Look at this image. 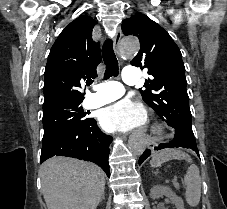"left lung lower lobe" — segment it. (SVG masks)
I'll return each instance as SVG.
<instances>
[{
  "label": "left lung lower lobe",
  "instance_id": "obj_1",
  "mask_svg": "<svg viewBox=\"0 0 227 209\" xmlns=\"http://www.w3.org/2000/svg\"><path fill=\"white\" fill-rule=\"evenodd\" d=\"M178 148V147H183V148H189L193 149L199 156L198 148L196 146V142L193 141L192 139L185 138L181 136L178 132L175 133L174 139L166 144H160L158 147H155V150H160L164 148ZM151 150L147 149L144 151L143 155L139 158V164H142V162L150 155Z\"/></svg>",
  "mask_w": 227,
  "mask_h": 209
}]
</instances>
